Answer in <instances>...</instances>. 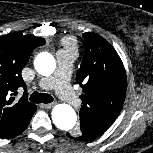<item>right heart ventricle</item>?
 <instances>
[{"label":"right heart ventricle","mask_w":153,"mask_h":153,"mask_svg":"<svg viewBox=\"0 0 153 153\" xmlns=\"http://www.w3.org/2000/svg\"><path fill=\"white\" fill-rule=\"evenodd\" d=\"M64 45L68 50H74V40L71 38H67L64 40Z\"/></svg>","instance_id":"right-heart-ventricle-1"}]
</instances>
